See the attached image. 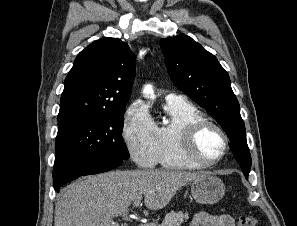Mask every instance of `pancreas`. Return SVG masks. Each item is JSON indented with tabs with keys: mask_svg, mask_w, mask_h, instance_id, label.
<instances>
[{
	"mask_svg": "<svg viewBox=\"0 0 297 226\" xmlns=\"http://www.w3.org/2000/svg\"><path fill=\"white\" fill-rule=\"evenodd\" d=\"M187 219H189L188 213L171 211L158 226H180Z\"/></svg>",
	"mask_w": 297,
	"mask_h": 226,
	"instance_id": "pancreas-1",
	"label": "pancreas"
}]
</instances>
